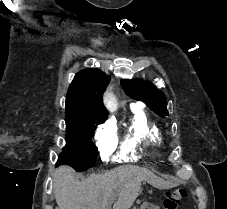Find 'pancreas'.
I'll return each instance as SVG.
<instances>
[{
	"label": "pancreas",
	"mask_w": 227,
	"mask_h": 209,
	"mask_svg": "<svg viewBox=\"0 0 227 209\" xmlns=\"http://www.w3.org/2000/svg\"><path fill=\"white\" fill-rule=\"evenodd\" d=\"M143 209H154L152 206H145Z\"/></svg>",
	"instance_id": "obj_1"
}]
</instances>
